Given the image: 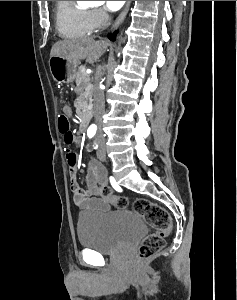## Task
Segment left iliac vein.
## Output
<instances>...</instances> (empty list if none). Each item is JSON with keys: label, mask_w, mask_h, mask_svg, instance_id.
Wrapping results in <instances>:
<instances>
[{"label": "left iliac vein", "mask_w": 237, "mask_h": 300, "mask_svg": "<svg viewBox=\"0 0 237 300\" xmlns=\"http://www.w3.org/2000/svg\"><path fill=\"white\" fill-rule=\"evenodd\" d=\"M97 155L100 161H106V153L104 148H102L101 151H98Z\"/></svg>", "instance_id": "1"}]
</instances>
